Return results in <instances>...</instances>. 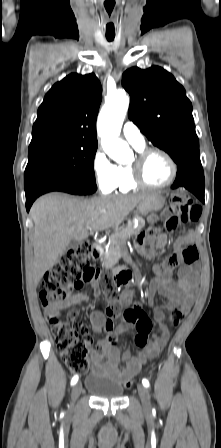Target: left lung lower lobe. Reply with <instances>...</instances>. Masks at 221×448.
<instances>
[{
	"label": "left lung lower lobe",
	"mask_w": 221,
	"mask_h": 448,
	"mask_svg": "<svg viewBox=\"0 0 221 448\" xmlns=\"http://www.w3.org/2000/svg\"><path fill=\"white\" fill-rule=\"evenodd\" d=\"M204 184V172L200 163L178 169L172 188L185 187L204 203Z\"/></svg>",
	"instance_id": "0a47b994"
}]
</instances>
